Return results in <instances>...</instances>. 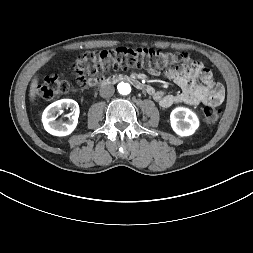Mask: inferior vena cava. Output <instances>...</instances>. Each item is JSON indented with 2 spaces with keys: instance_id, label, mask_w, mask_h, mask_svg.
Instances as JSON below:
<instances>
[{
  "instance_id": "inferior-vena-cava-1",
  "label": "inferior vena cava",
  "mask_w": 253,
  "mask_h": 253,
  "mask_svg": "<svg viewBox=\"0 0 253 253\" xmlns=\"http://www.w3.org/2000/svg\"><path fill=\"white\" fill-rule=\"evenodd\" d=\"M115 88L111 85H105L100 89V96L103 98H109L113 96Z\"/></svg>"
}]
</instances>
